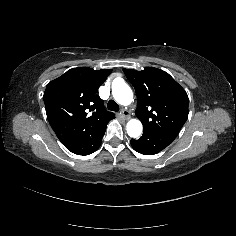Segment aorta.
<instances>
[{
    "mask_svg": "<svg viewBox=\"0 0 236 236\" xmlns=\"http://www.w3.org/2000/svg\"><path fill=\"white\" fill-rule=\"evenodd\" d=\"M114 99L121 105H130L133 101V92L128 84L122 83L117 87H112ZM127 133L132 138H138L142 134V124L139 120L132 119L127 123Z\"/></svg>",
    "mask_w": 236,
    "mask_h": 236,
    "instance_id": "obj_1",
    "label": "aorta"
}]
</instances>
